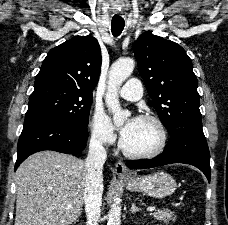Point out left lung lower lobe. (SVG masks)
<instances>
[{
  "label": "left lung lower lobe",
  "instance_id": "0a47b994",
  "mask_svg": "<svg viewBox=\"0 0 228 225\" xmlns=\"http://www.w3.org/2000/svg\"><path fill=\"white\" fill-rule=\"evenodd\" d=\"M170 134L163 153L152 159L129 160L126 165L132 169H146L172 163L190 164L200 169L210 182V154L202 129L177 128Z\"/></svg>",
  "mask_w": 228,
  "mask_h": 225
}]
</instances>
